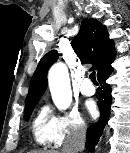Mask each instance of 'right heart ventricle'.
<instances>
[{"instance_id": "1", "label": "right heart ventricle", "mask_w": 130, "mask_h": 153, "mask_svg": "<svg viewBox=\"0 0 130 153\" xmlns=\"http://www.w3.org/2000/svg\"><path fill=\"white\" fill-rule=\"evenodd\" d=\"M55 117L47 107H42L32 121V135L35 143L41 147H50L54 144Z\"/></svg>"}]
</instances>
